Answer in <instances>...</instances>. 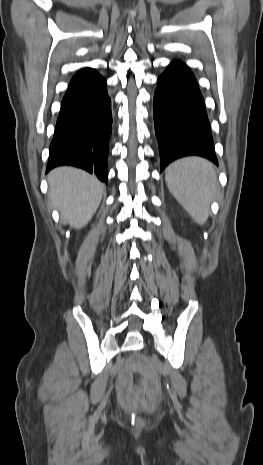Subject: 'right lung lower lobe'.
Returning a JSON list of instances; mask_svg holds the SVG:
<instances>
[{
    "label": "right lung lower lobe",
    "mask_w": 263,
    "mask_h": 465,
    "mask_svg": "<svg viewBox=\"0 0 263 465\" xmlns=\"http://www.w3.org/2000/svg\"><path fill=\"white\" fill-rule=\"evenodd\" d=\"M112 132L111 99L106 81L95 70H80L62 100L46 172L72 165L107 182L108 141Z\"/></svg>",
    "instance_id": "1"
}]
</instances>
